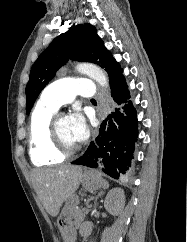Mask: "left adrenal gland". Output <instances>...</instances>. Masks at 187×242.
I'll use <instances>...</instances> for the list:
<instances>
[{
    "label": "left adrenal gland",
    "mask_w": 187,
    "mask_h": 242,
    "mask_svg": "<svg viewBox=\"0 0 187 242\" xmlns=\"http://www.w3.org/2000/svg\"><path fill=\"white\" fill-rule=\"evenodd\" d=\"M103 194H104V191H100V192L98 193V195L95 197V200H94V207H95V208H96V206H97V200H98V198L101 197Z\"/></svg>",
    "instance_id": "left-adrenal-gland-1"
}]
</instances>
